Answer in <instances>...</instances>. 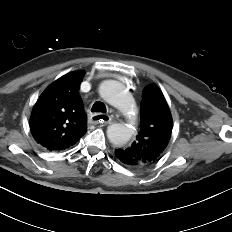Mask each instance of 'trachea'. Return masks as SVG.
<instances>
[{
  "label": "trachea",
  "instance_id": "obj_1",
  "mask_svg": "<svg viewBox=\"0 0 232 232\" xmlns=\"http://www.w3.org/2000/svg\"><path fill=\"white\" fill-rule=\"evenodd\" d=\"M91 111L97 113H106V106L102 102L97 101L93 104Z\"/></svg>",
  "mask_w": 232,
  "mask_h": 232
}]
</instances>
